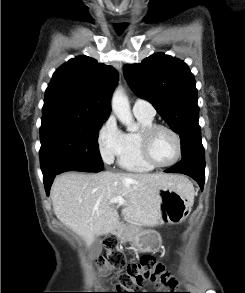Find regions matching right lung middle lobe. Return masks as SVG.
I'll return each instance as SVG.
<instances>
[{"label": "right lung middle lobe", "mask_w": 245, "mask_h": 293, "mask_svg": "<svg viewBox=\"0 0 245 293\" xmlns=\"http://www.w3.org/2000/svg\"><path fill=\"white\" fill-rule=\"evenodd\" d=\"M102 120L73 115L42 116L39 152L43 176L65 163H87L103 167L98 150Z\"/></svg>", "instance_id": "obj_1"}]
</instances>
